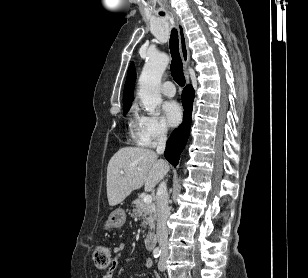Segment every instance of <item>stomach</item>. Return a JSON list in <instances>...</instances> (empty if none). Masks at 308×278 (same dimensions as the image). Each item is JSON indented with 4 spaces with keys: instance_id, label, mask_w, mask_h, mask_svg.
Here are the masks:
<instances>
[{
    "instance_id": "obj_1",
    "label": "stomach",
    "mask_w": 308,
    "mask_h": 278,
    "mask_svg": "<svg viewBox=\"0 0 308 278\" xmlns=\"http://www.w3.org/2000/svg\"><path fill=\"white\" fill-rule=\"evenodd\" d=\"M126 221V215L123 209H116L110 213L107 221L104 224L105 230H111L113 228H119L124 225Z\"/></svg>"
}]
</instances>
